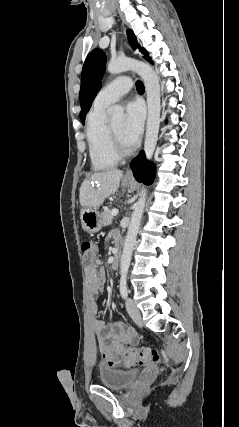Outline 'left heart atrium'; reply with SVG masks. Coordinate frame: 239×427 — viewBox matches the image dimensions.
Here are the masks:
<instances>
[{
  "mask_svg": "<svg viewBox=\"0 0 239 427\" xmlns=\"http://www.w3.org/2000/svg\"><path fill=\"white\" fill-rule=\"evenodd\" d=\"M144 125V108L138 101H132L126 106V116L122 127L124 141L133 146L138 141Z\"/></svg>",
  "mask_w": 239,
  "mask_h": 427,
  "instance_id": "obj_1",
  "label": "left heart atrium"
}]
</instances>
